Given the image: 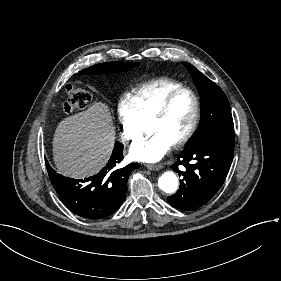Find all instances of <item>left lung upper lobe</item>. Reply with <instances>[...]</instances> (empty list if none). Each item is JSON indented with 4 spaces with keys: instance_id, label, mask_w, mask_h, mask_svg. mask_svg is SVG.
Segmentation results:
<instances>
[{
    "instance_id": "obj_1",
    "label": "left lung upper lobe",
    "mask_w": 281,
    "mask_h": 281,
    "mask_svg": "<svg viewBox=\"0 0 281 281\" xmlns=\"http://www.w3.org/2000/svg\"><path fill=\"white\" fill-rule=\"evenodd\" d=\"M183 65L191 73L201 101L200 123L186 147L207 140L234 147V124L225 93L194 66Z\"/></svg>"
}]
</instances>
